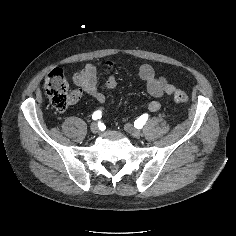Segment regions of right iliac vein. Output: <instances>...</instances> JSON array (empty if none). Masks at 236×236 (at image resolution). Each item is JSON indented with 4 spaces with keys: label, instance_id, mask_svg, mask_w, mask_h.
<instances>
[{
    "label": "right iliac vein",
    "instance_id": "right-iliac-vein-1",
    "mask_svg": "<svg viewBox=\"0 0 236 236\" xmlns=\"http://www.w3.org/2000/svg\"><path fill=\"white\" fill-rule=\"evenodd\" d=\"M90 130L92 133L96 134L99 132V127L97 123H92L90 126Z\"/></svg>",
    "mask_w": 236,
    "mask_h": 236
}]
</instances>
